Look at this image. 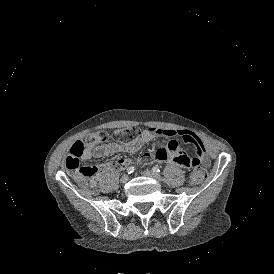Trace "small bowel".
<instances>
[{
  "instance_id": "c3829d8e",
  "label": "small bowel",
  "mask_w": 274,
  "mask_h": 274,
  "mask_svg": "<svg viewBox=\"0 0 274 274\" xmlns=\"http://www.w3.org/2000/svg\"><path fill=\"white\" fill-rule=\"evenodd\" d=\"M159 137H178L183 142L192 144L197 153V158H186L182 165L186 169H194L198 166L199 161L204 165H209V160L205 156L206 148L203 141L193 132L188 130H173L161 127H147L142 130L140 136L131 143L109 142L98 144L93 148L85 149L82 158L89 160L92 157H103L110 154L138 151L144 144L150 143ZM151 159L153 161L169 160V164L178 165L176 159L179 158L182 147L178 139L171 140L160 139L157 140L152 147ZM150 163V154L148 152H141L139 158L136 160V167L138 169H146ZM130 164L127 159L119 158L113 162H108L97 166V173H105L113 169H124Z\"/></svg>"
}]
</instances>
